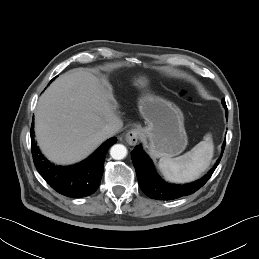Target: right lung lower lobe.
<instances>
[{
  "label": "right lung lower lobe",
  "instance_id": "1",
  "mask_svg": "<svg viewBox=\"0 0 259 259\" xmlns=\"http://www.w3.org/2000/svg\"><path fill=\"white\" fill-rule=\"evenodd\" d=\"M31 125V149L36 169L44 180L58 193L73 198H81L94 193L100 185L103 174L105 152L117 142L113 137L100 146L85 161L69 167L55 166L40 152L34 140Z\"/></svg>",
  "mask_w": 259,
  "mask_h": 259
}]
</instances>
